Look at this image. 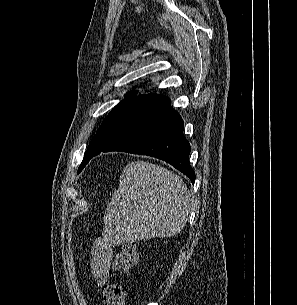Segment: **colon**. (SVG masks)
I'll use <instances>...</instances> for the list:
<instances>
[{
	"mask_svg": "<svg viewBox=\"0 0 297 305\" xmlns=\"http://www.w3.org/2000/svg\"><path fill=\"white\" fill-rule=\"evenodd\" d=\"M140 260L138 247L135 244H127L121 247L116 259L115 269L121 273H127L135 267ZM103 305H126V288L118 282L108 283L103 290Z\"/></svg>",
	"mask_w": 297,
	"mask_h": 305,
	"instance_id": "colon-1",
	"label": "colon"
}]
</instances>
